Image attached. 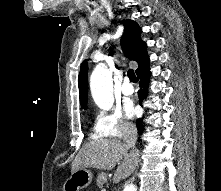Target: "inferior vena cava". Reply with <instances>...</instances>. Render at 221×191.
Instances as JSON below:
<instances>
[{
	"instance_id": "602c4592",
	"label": "inferior vena cava",
	"mask_w": 221,
	"mask_h": 191,
	"mask_svg": "<svg viewBox=\"0 0 221 191\" xmlns=\"http://www.w3.org/2000/svg\"><path fill=\"white\" fill-rule=\"evenodd\" d=\"M136 141H137V129L133 126L128 127L125 132L124 142L126 144V147L130 149V153L133 156L138 157L139 153L135 147Z\"/></svg>"
}]
</instances>
